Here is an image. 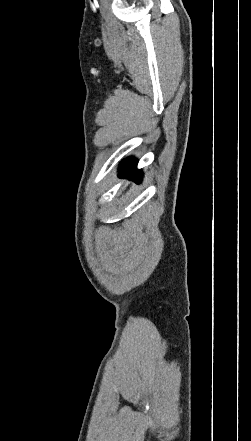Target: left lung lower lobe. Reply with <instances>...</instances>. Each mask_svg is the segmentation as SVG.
<instances>
[{
  "label": "left lung lower lobe",
  "mask_w": 251,
  "mask_h": 441,
  "mask_svg": "<svg viewBox=\"0 0 251 441\" xmlns=\"http://www.w3.org/2000/svg\"><path fill=\"white\" fill-rule=\"evenodd\" d=\"M137 161L133 158H130L129 160H125L122 162L120 167V174L119 176L121 178L123 177H129L139 183L142 179V174L140 170L136 169Z\"/></svg>",
  "instance_id": "left-lung-lower-lobe-1"
}]
</instances>
